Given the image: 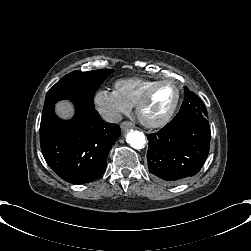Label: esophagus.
I'll list each match as a JSON object with an SVG mask.
<instances>
[{
	"mask_svg": "<svg viewBox=\"0 0 251 251\" xmlns=\"http://www.w3.org/2000/svg\"><path fill=\"white\" fill-rule=\"evenodd\" d=\"M120 126H121L122 130H128L130 128H133L134 124L131 121H123L120 124Z\"/></svg>",
	"mask_w": 251,
	"mask_h": 251,
	"instance_id": "obj_1",
	"label": "esophagus"
}]
</instances>
